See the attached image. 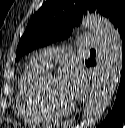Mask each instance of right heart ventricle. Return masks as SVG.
<instances>
[{
	"label": "right heart ventricle",
	"mask_w": 125,
	"mask_h": 128,
	"mask_svg": "<svg viewBox=\"0 0 125 128\" xmlns=\"http://www.w3.org/2000/svg\"><path fill=\"white\" fill-rule=\"evenodd\" d=\"M44 71V67L30 61L19 76L16 92V113L25 122L31 124H44L49 118L37 107L32 87L38 76Z\"/></svg>",
	"instance_id": "right-heart-ventricle-1"
}]
</instances>
